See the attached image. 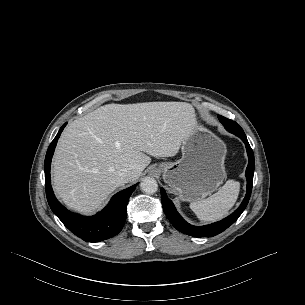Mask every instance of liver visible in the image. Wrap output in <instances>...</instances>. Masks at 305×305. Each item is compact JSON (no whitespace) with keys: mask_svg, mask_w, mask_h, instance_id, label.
Here are the masks:
<instances>
[{"mask_svg":"<svg viewBox=\"0 0 305 305\" xmlns=\"http://www.w3.org/2000/svg\"><path fill=\"white\" fill-rule=\"evenodd\" d=\"M197 126L191 104H107L70 123L53 157V187L79 213L98 209L124 185L119 171L135 182L153 157L175 156ZM149 155V156H148Z\"/></svg>","mask_w":305,"mask_h":305,"instance_id":"1","label":"liver"}]
</instances>
